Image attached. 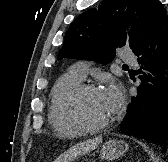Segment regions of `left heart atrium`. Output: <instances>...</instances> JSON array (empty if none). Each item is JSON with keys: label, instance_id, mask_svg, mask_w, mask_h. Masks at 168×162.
I'll return each instance as SVG.
<instances>
[{"label": "left heart atrium", "instance_id": "obj_1", "mask_svg": "<svg viewBox=\"0 0 168 162\" xmlns=\"http://www.w3.org/2000/svg\"><path fill=\"white\" fill-rule=\"evenodd\" d=\"M103 94L109 110L113 114L122 104L123 97L121 90L115 84H111Z\"/></svg>", "mask_w": 168, "mask_h": 162}]
</instances>
